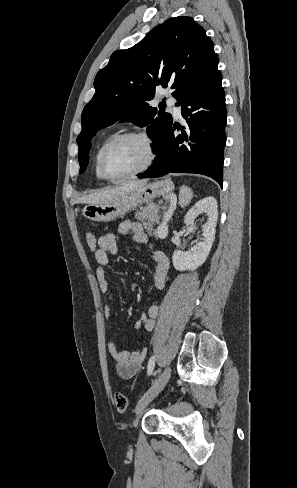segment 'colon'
<instances>
[{"label":"colon","instance_id":"5ec220e1","mask_svg":"<svg viewBox=\"0 0 297 488\" xmlns=\"http://www.w3.org/2000/svg\"><path fill=\"white\" fill-rule=\"evenodd\" d=\"M86 242L89 250L94 254L98 249V239L93 233L88 232L86 234ZM114 402L119 411H124L127 408L128 399L126 395L122 392H117L115 394Z\"/></svg>","mask_w":297,"mask_h":488}]
</instances>
